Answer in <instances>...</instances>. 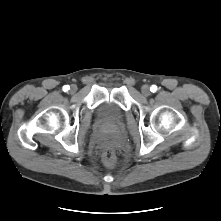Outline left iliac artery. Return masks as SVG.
Here are the masks:
<instances>
[{
	"mask_svg": "<svg viewBox=\"0 0 221 221\" xmlns=\"http://www.w3.org/2000/svg\"><path fill=\"white\" fill-rule=\"evenodd\" d=\"M150 91L151 92H156L157 91V86L156 85H152L151 87H150Z\"/></svg>",
	"mask_w": 221,
	"mask_h": 221,
	"instance_id": "44dca946",
	"label": "left iliac artery"
}]
</instances>
